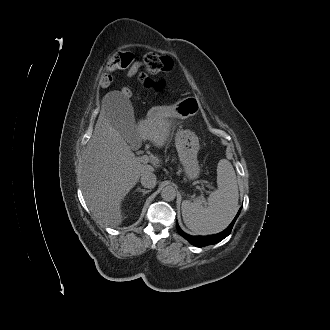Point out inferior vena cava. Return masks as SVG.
Returning a JSON list of instances; mask_svg holds the SVG:
<instances>
[{
	"mask_svg": "<svg viewBox=\"0 0 330 330\" xmlns=\"http://www.w3.org/2000/svg\"><path fill=\"white\" fill-rule=\"evenodd\" d=\"M140 181L145 188H154L157 183L156 175L152 172L143 173Z\"/></svg>",
	"mask_w": 330,
	"mask_h": 330,
	"instance_id": "obj_1",
	"label": "inferior vena cava"
}]
</instances>
